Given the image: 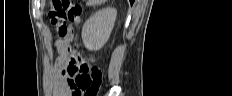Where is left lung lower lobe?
Returning <instances> with one entry per match:
<instances>
[{"instance_id":"0a47b994","label":"left lung lower lobe","mask_w":232,"mask_h":96,"mask_svg":"<svg viewBox=\"0 0 232 96\" xmlns=\"http://www.w3.org/2000/svg\"><path fill=\"white\" fill-rule=\"evenodd\" d=\"M131 4L134 2V0H130Z\"/></svg>"}]
</instances>
